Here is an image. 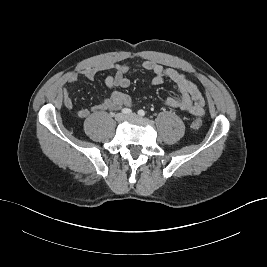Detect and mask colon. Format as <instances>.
Returning <instances> with one entry per match:
<instances>
[{
  "instance_id": "1",
  "label": "colon",
  "mask_w": 267,
  "mask_h": 267,
  "mask_svg": "<svg viewBox=\"0 0 267 267\" xmlns=\"http://www.w3.org/2000/svg\"><path fill=\"white\" fill-rule=\"evenodd\" d=\"M202 126V121L200 118H195L192 122V128L193 129H199Z\"/></svg>"
}]
</instances>
